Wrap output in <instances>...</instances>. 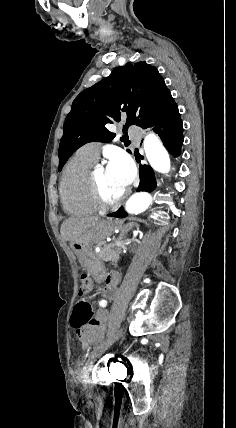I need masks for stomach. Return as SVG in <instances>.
<instances>
[{
	"label": "stomach",
	"instance_id": "1",
	"mask_svg": "<svg viewBox=\"0 0 236 428\" xmlns=\"http://www.w3.org/2000/svg\"><path fill=\"white\" fill-rule=\"evenodd\" d=\"M112 226L108 222H97L96 226L89 228L87 232H83L82 236L70 242V246L76 254L79 262L82 264V269H87L90 273V280L93 283H104L105 282V263L101 262L98 256H94L92 250L94 244H102L105 242L108 236H111Z\"/></svg>",
	"mask_w": 236,
	"mask_h": 428
}]
</instances>
